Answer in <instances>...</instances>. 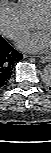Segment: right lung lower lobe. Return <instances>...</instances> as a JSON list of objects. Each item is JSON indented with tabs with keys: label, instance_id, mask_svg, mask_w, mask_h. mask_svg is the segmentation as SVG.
<instances>
[{
	"label": "right lung lower lobe",
	"instance_id": "98d812e1",
	"mask_svg": "<svg viewBox=\"0 0 51 153\" xmlns=\"http://www.w3.org/2000/svg\"><path fill=\"white\" fill-rule=\"evenodd\" d=\"M23 58L22 54L14 50L0 36V87L7 84L12 75V70L15 62Z\"/></svg>",
	"mask_w": 51,
	"mask_h": 153
}]
</instances>
